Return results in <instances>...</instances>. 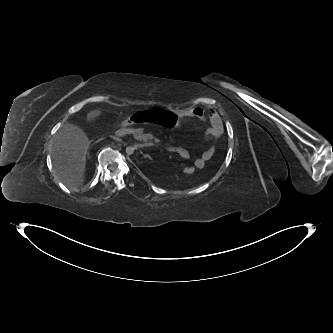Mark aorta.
<instances>
[{
  "instance_id": "762f6f07",
  "label": "aorta",
  "mask_w": 333,
  "mask_h": 333,
  "mask_svg": "<svg viewBox=\"0 0 333 333\" xmlns=\"http://www.w3.org/2000/svg\"><path fill=\"white\" fill-rule=\"evenodd\" d=\"M134 151H135V148H134L133 146H127V147H126V153H127L128 155L133 154Z\"/></svg>"
}]
</instances>
